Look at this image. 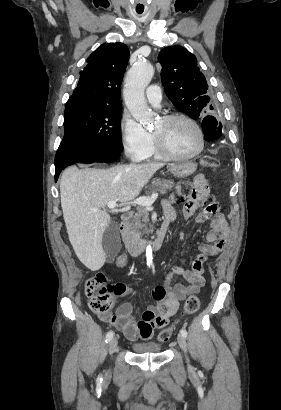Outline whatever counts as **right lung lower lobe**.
Wrapping results in <instances>:
<instances>
[{
  "instance_id": "1",
  "label": "right lung lower lobe",
  "mask_w": 281,
  "mask_h": 410,
  "mask_svg": "<svg viewBox=\"0 0 281 410\" xmlns=\"http://www.w3.org/2000/svg\"><path fill=\"white\" fill-rule=\"evenodd\" d=\"M121 152L113 151H94V152H79L64 156L59 161L55 162V181H57L60 172L69 165L78 162L94 163V162H114L120 157Z\"/></svg>"
}]
</instances>
